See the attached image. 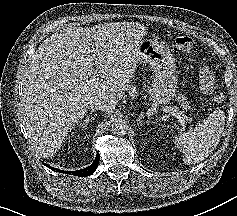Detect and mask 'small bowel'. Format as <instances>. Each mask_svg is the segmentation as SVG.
<instances>
[{
  "instance_id": "obj_1",
  "label": "small bowel",
  "mask_w": 237,
  "mask_h": 216,
  "mask_svg": "<svg viewBox=\"0 0 237 216\" xmlns=\"http://www.w3.org/2000/svg\"><path fill=\"white\" fill-rule=\"evenodd\" d=\"M208 73H209L208 70H205V76H207ZM203 89L205 92H209L210 91V82L205 84Z\"/></svg>"
}]
</instances>
